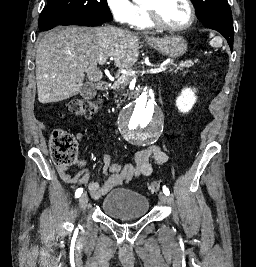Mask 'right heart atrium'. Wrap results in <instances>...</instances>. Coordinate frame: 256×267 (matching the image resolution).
<instances>
[{
	"instance_id": "right-heart-atrium-1",
	"label": "right heart atrium",
	"mask_w": 256,
	"mask_h": 267,
	"mask_svg": "<svg viewBox=\"0 0 256 267\" xmlns=\"http://www.w3.org/2000/svg\"><path fill=\"white\" fill-rule=\"evenodd\" d=\"M135 8H136L135 14L140 15L141 11L139 10V8H137V7H135ZM134 16L135 15H129L126 17H119L113 13V18L116 22H120L121 25H127V26H132ZM108 55H111V54H108Z\"/></svg>"
}]
</instances>
